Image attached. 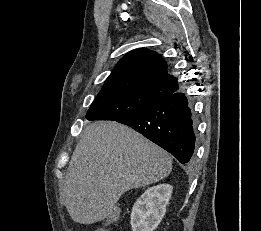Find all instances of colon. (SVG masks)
<instances>
[{
  "instance_id": "colon-1",
  "label": "colon",
  "mask_w": 261,
  "mask_h": 231,
  "mask_svg": "<svg viewBox=\"0 0 261 231\" xmlns=\"http://www.w3.org/2000/svg\"><path fill=\"white\" fill-rule=\"evenodd\" d=\"M120 216V210L119 208L115 207V208H112L110 211H109V219L111 221H115L116 219H118ZM96 231H108L107 228H98L96 229Z\"/></svg>"
}]
</instances>
